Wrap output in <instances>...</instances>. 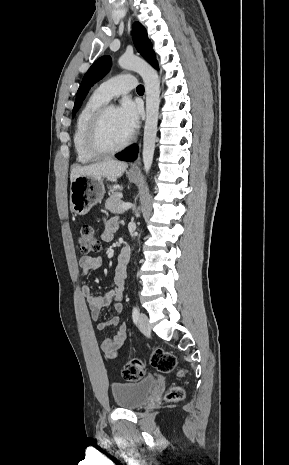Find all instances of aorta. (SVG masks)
<instances>
[{"instance_id":"obj_1","label":"aorta","mask_w":289,"mask_h":465,"mask_svg":"<svg viewBox=\"0 0 289 465\" xmlns=\"http://www.w3.org/2000/svg\"><path fill=\"white\" fill-rule=\"evenodd\" d=\"M118 64L124 69L137 72L143 79L146 92V122L143 139V165L149 173L154 156L160 104V81L157 72L144 60L135 55H123Z\"/></svg>"}]
</instances>
